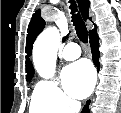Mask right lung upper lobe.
<instances>
[{
	"label": "right lung upper lobe",
	"instance_id": "obj_1",
	"mask_svg": "<svg viewBox=\"0 0 121 113\" xmlns=\"http://www.w3.org/2000/svg\"><path fill=\"white\" fill-rule=\"evenodd\" d=\"M78 6L80 9V12L84 18V20H87L89 18V6L90 3L88 0H77ZM91 19V18H90ZM45 26V21L40 16V10H37L31 19V22L28 27V35L26 40V53L28 54L27 57L31 55L32 52V45L36 39V37L39 35V33L43 30ZM96 26L93 30L89 31V35L96 31ZM26 72H27V78H32L34 75V69L32 66V63L29 60H26Z\"/></svg>",
	"mask_w": 121,
	"mask_h": 113
}]
</instances>
